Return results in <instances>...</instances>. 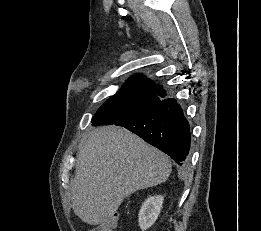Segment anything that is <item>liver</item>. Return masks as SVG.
I'll return each mask as SVG.
<instances>
[{
    "instance_id": "1",
    "label": "liver",
    "mask_w": 261,
    "mask_h": 231,
    "mask_svg": "<svg viewBox=\"0 0 261 231\" xmlns=\"http://www.w3.org/2000/svg\"><path fill=\"white\" fill-rule=\"evenodd\" d=\"M171 170L164 153L125 128L95 129L77 155L71 180L74 213L90 225L105 223L126 197L165 182Z\"/></svg>"
}]
</instances>
